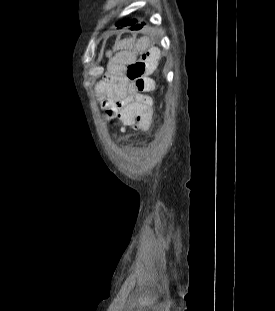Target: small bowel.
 Here are the masks:
<instances>
[{"label": "small bowel", "mask_w": 275, "mask_h": 311, "mask_svg": "<svg viewBox=\"0 0 275 311\" xmlns=\"http://www.w3.org/2000/svg\"><path fill=\"white\" fill-rule=\"evenodd\" d=\"M141 41L142 44L125 39L117 44L108 63L107 76L98 86V94L109 117L121 119L124 126H136V133H149L153 101L136 89L135 83L127 75V68L136 57H155L160 62L164 58L156 47L146 50L151 45L147 38ZM107 56L111 57V53H107Z\"/></svg>", "instance_id": "c3829d8e"}]
</instances>
